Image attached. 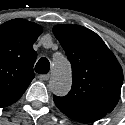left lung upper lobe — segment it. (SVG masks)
Here are the masks:
<instances>
[{"label": "left lung upper lobe", "mask_w": 125, "mask_h": 125, "mask_svg": "<svg viewBox=\"0 0 125 125\" xmlns=\"http://www.w3.org/2000/svg\"><path fill=\"white\" fill-rule=\"evenodd\" d=\"M53 33L72 65V88L54 95L57 108L71 119L105 116L119 101L123 71L114 54L93 31L80 25H56Z\"/></svg>", "instance_id": "left-lung-upper-lobe-1"}]
</instances>
